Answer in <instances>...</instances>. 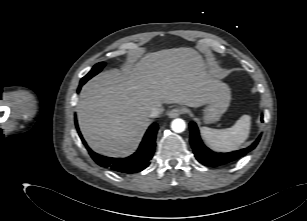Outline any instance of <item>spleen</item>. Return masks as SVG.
I'll return each instance as SVG.
<instances>
[{
	"mask_svg": "<svg viewBox=\"0 0 307 221\" xmlns=\"http://www.w3.org/2000/svg\"><path fill=\"white\" fill-rule=\"evenodd\" d=\"M251 117L243 115L236 123L226 129L202 127L201 134L206 143L215 151L228 152L243 144L249 136Z\"/></svg>",
	"mask_w": 307,
	"mask_h": 221,
	"instance_id": "obj_1",
	"label": "spleen"
}]
</instances>
